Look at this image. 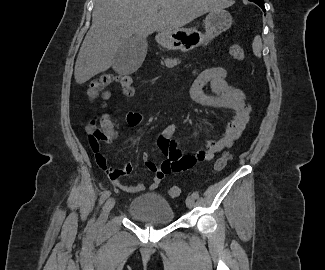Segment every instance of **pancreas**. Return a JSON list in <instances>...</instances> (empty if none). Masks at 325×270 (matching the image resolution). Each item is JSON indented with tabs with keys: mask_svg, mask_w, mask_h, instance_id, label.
<instances>
[{
	"mask_svg": "<svg viewBox=\"0 0 325 270\" xmlns=\"http://www.w3.org/2000/svg\"><path fill=\"white\" fill-rule=\"evenodd\" d=\"M178 63H179V61L176 60V59H174V60H172V59H167V60H166V64H168V65H177Z\"/></svg>",
	"mask_w": 325,
	"mask_h": 270,
	"instance_id": "pancreas-1",
	"label": "pancreas"
}]
</instances>
